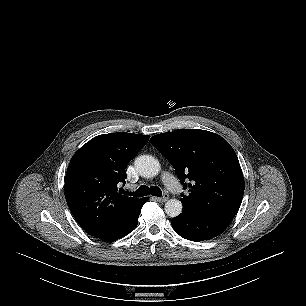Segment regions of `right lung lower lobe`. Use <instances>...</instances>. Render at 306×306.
<instances>
[{
	"label": "right lung lower lobe",
	"instance_id": "obj_1",
	"mask_svg": "<svg viewBox=\"0 0 306 306\" xmlns=\"http://www.w3.org/2000/svg\"><path fill=\"white\" fill-rule=\"evenodd\" d=\"M148 201V197L142 198L141 202L133 209L132 214L130 215L129 219L127 222L111 237H109L105 241H114L117 240L121 237L126 236L129 234L131 231H133L138 223V217L141 212L142 206Z\"/></svg>",
	"mask_w": 306,
	"mask_h": 306
}]
</instances>
